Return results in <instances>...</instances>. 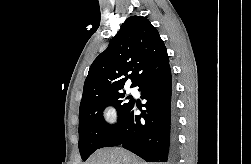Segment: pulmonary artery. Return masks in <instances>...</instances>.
Returning a JSON list of instances; mask_svg holds the SVG:
<instances>
[{
	"mask_svg": "<svg viewBox=\"0 0 251 164\" xmlns=\"http://www.w3.org/2000/svg\"><path fill=\"white\" fill-rule=\"evenodd\" d=\"M129 92L132 94V95H136L137 94V89L135 87H131L129 89Z\"/></svg>",
	"mask_w": 251,
	"mask_h": 164,
	"instance_id": "obj_1",
	"label": "pulmonary artery"
}]
</instances>
